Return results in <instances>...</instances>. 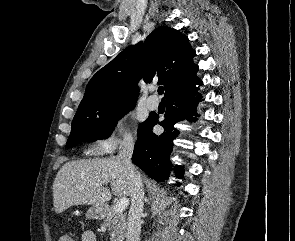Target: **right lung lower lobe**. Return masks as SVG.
<instances>
[{
  "label": "right lung lower lobe",
  "mask_w": 295,
  "mask_h": 241,
  "mask_svg": "<svg viewBox=\"0 0 295 241\" xmlns=\"http://www.w3.org/2000/svg\"><path fill=\"white\" fill-rule=\"evenodd\" d=\"M202 84V81L198 80L166 97L165 119L159 122V125L164 128L161 135L152 132L153 126L158 123V115H150L138 131L132 161L158 182L166 180L172 170L169 155L173 146L172 141L178 135L174 124L184 119L191 120V116L195 115V107L202 99L201 95L195 96V93L198 90L197 85ZM193 120L195 121L196 118ZM175 169L178 177L181 178L182 167L176 166Z\"/></svg>",
  "instance_id": "1"
}]
</instances>
